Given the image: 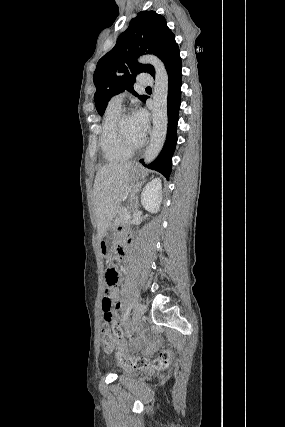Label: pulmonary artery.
Listing matches in <instances>:
<instances>
[{"label": "pulmonary artery", "instance_id": "pulmonary-artery-1", "mask_svg": "<svg viewBox=\"0 0 285 427\" xmlns=\"http://www.w3.org/2000/svg\"><path fill=\"white\" fill-rule=\"evenodd\" d=\"M138 83L139 85H144V86L152 85L153 78L149 74H142L138 77ZM124 97H125L124 93H118L110 99V104L121 108L124 101Z\"/></svg>", "mask_w": 285, "mask_h": 427}]
</instances>
